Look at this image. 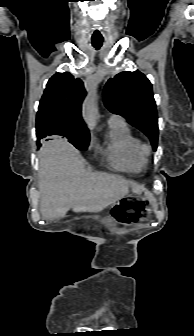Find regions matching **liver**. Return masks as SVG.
<instances>
[{"mask_svg": "<svg viewBox=\"0 0 194 336\" xmlns=\"http://www.w3.org/2000/svg\"><path fill=\"white\" fill-rule=\"evenodd\" d=\"M40 211L45 219L74 212H100L129 192L119 175L91 172L85 160L66 140L45 143L38 153Z\"/></svg>", "mask_w": 194, "mask_h": 336, "instance_id": "6515ba94", "label": "liver"}]
</instances>
